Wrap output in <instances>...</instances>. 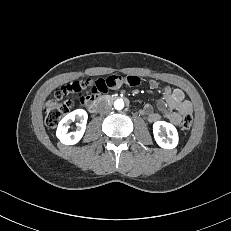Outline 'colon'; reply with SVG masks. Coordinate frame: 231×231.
Here are the masks:
<instances>
[{"instance_id":"colon-1","label":"colon","mask_w":231,"mask_h":231,"mask_svg":"<svg viewBox=\"0 0 231 231\" xmlns=\"http://www.w3.org/2000/svg\"><path fill=\"white\" fill-rule=\"evenodd\" d=\"M100 79L102 78L75 81L57 90L53 96L47 99L45 104L46 125L55 127L61 118L71 110L72 102L68 99L71 94L83 93L84 96ZM192 121L191 114L184 115L180 125L181 129L188 131L192 126Z\"/></svg>"}]
</instances>
